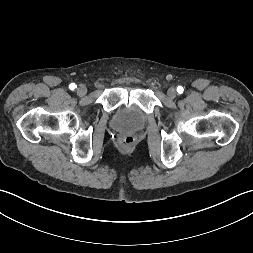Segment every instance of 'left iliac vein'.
<instances>
[{"mask_svg": "<svg viewBox=\"0 0 253 253\" xmlns=\"http://www.w3.org/2000/svg\"><path fill=\"white\" fill-rule=\"evenodd\" d=\"M176 90L174 88H169L167 91V95L169 98L174 99L176 97Z\"/></svg>", "mask_w": 253, "mask_h": 253, "instance_id": "4c4485c4", "label": "left iliac vein"}]
</instances>
